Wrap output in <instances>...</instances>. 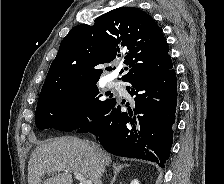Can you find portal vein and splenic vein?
Instances as JSON below:
<instances>
[{"label": "portal vein and splenic vein", "instance_id": "18ae733b", "mask_svg": "<svg viewBox=\"0 0 224 184\" xmlns=\"http://www.w3.org/2000/svg\"><path fill=\"white\" fill-rule=\"evenodd\" d=\"M56 170H60L61 168H55ZM74 176L77 180H79V184H92L91 180L85 179L81 174L74 172Z\"/></svg>", "mask_w": 224, "mask_h": 184}]
</instances>
